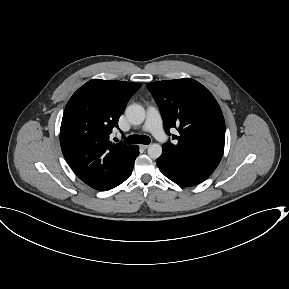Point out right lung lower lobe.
<instances>
[{"mask_svg": "<svg viewBox=\"0 0 289 289\" xmlns=\"http://www.w3.org/2000/svg\"><path fill=\"white\" fill-rule=\"evenodd\" d=\"M138 155H139V147L137 145H135L134 149L132 150V154H131L129 163H128L125 171L123 172L121 177L117 180V182L109 189H112V188L120 185L122 182H124L126 179L129 178V176L132 173L133 167H134V161ZM109 189H107V190H109Z\"/></svg>", "mask_w": 289, "mask_h": 289, "instance_id": "obj_1", "label": "right lung lower lobe"}]
</instances>
